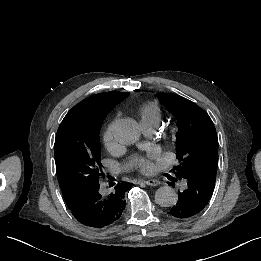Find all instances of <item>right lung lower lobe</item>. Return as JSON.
<instances>
[{
	"label": "right lung lower lobe",
	"instance_id": "obj_1",
	"mask_svg": "<svg viewBox=\"0 0 261 261\" xmlns=\"http://www.w3.org/2000/svg\"><path fill=\"white\" fill-rule=\"evenodd\" d=\"M132 183L121 182L110 193L100 188L99 182L90 189L77 193L66 202L74 218L89 227L102 228L114 223L125 209V193Z\"/></svg>",
	"mask_w": 261,
	"mask_h": 261
}]
</instances>
